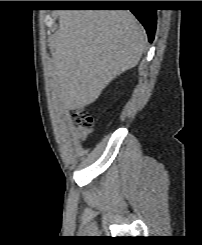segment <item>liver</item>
Masks as SVG:
<instances>
[{
  "instance_id": "liver-1",
  "label": "liver",
  "mask_w": 202,
  "mask_h": 245,
  "mask_svg": "<svg viewBox=\"0 0 202 245\" xmlns=\"http://www.w3.org/2000/svg\"><path fill=\"white\" fill-rule=\"evenodd\" d=\"M146 33L128 10H66L52 40L57 95L68 110L95 102L106 86L135 67Z\"/></svg>"
}]
</instances>
